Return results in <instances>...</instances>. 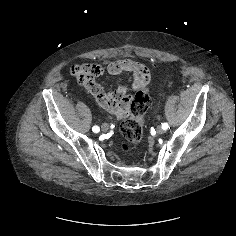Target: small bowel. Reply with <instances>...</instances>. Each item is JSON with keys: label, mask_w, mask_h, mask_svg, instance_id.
<instances>
[{"label": "small bowel", "mask_w": 236, "mask_h": 236, "mask_svg": "<svg viewBox=\"0 0 236 236\" xmlns=\"http://www.w3.org/2000/svg\"><path fill=\"white\" fill-rule=\"evenodd\" d=\"M123 73L125 80L130 83L117 90H109L108 93L95 80L98 76H118ZM68 74L77 80L86 94H94L105 110L119 118L129 114L134 93L151 84V72L145 65L132 59L105 60L102 65H94L89 60L82 59L69 66Z\"/></svg>", "instance_id": "1"}]
</instances>
